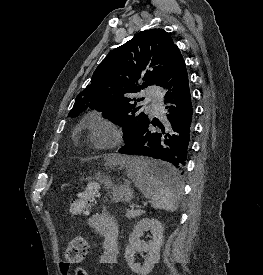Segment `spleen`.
<instances>
[{"instance_id": "1", "label": "spleen", "mask_w": 263, "mask_h": 275, "mask_svg": "<svg viewBox=\"0 0 263 275\" xmlns=\"http://www.w3.org/2000/svg\"><path fill=\"white\" fill-rule=\"evenodd\" d=\"M121 164L126 168L127 176L134 182L142 194L152 201L155 209H164L173 212L179 207V194L182 185L177 180L175 185H170L153 174V162L143 157L125 158Z\"/></svg>"}]
</instances>
